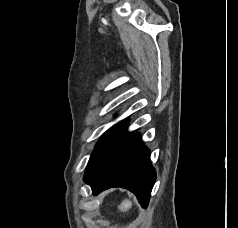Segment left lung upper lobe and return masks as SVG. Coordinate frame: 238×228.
Listing matches in <instances>:
<instances>
[{"label": "left lung upper lobe", "instance_id": "obj_1", "mask_svg": "<svg viewBox=\"0 0 238 228\" xmlns=\"http://www.w3.org/2000/svg\"><path fill=\"white\" fill-rule=\"evenodd\" d=\"M126 124V121H122L113 127H111L108 131H106L100 141L97 143L94 153L91 155L89 159V163L87 165L85 171V178L90 176L96 168L101 163L103 157L105 156L111 142L117 135V133L121 130V128Z\"/></svg>", "mask_w": 238, "mask_h": 228}]
</instances>
